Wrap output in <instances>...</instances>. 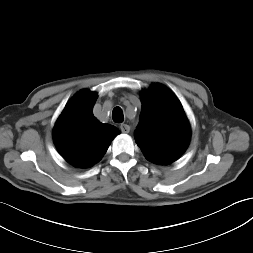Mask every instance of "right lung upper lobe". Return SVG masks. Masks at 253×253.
<instances>
[{
  "mask_svg": "<svg viewBox=\"0 0 253 253\" xmlns=\"http://www.w3.org/2000/svg\"><path fill=\"white\" fill-rule=\"evenodd\" d=\"M97 94L78 92L66 105L53 131L54 143L63 158L75 167L87 168L106 153L119 129L100 123L92 109Z\"/></svg>",
  "mask_w": 253,
  "mask_h": 253,
  "instance_id": "right-lung-upper-lobe-1",
  "label": "right lung upper lobe"
}]
</instances>
